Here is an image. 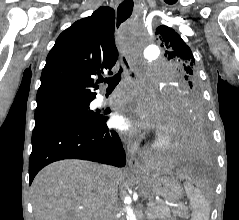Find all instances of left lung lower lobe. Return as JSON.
Segmentation results:
<instances>
[{
  "label": "left lung lower lobe",
  "mask_w": 239,
  "mask_h": 220,
  "mask_svg": "<svg viewBox=\"0 0 239 220\" xmlns=\"http://www.w3.org/2000/svg\"><path fill=\"white\" fill-rule=\"evenodd\" d=\"M173 122L179 137L177 161L187 166L203 165L210 158L209 131L203 107L181 110L173 117Z\"/></svg>",
  "instance_id": "obj_1"
}]
</instances>
